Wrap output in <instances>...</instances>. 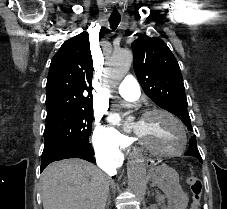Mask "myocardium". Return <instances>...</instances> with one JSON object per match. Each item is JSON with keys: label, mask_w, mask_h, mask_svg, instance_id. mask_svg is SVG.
Returning a JSON list of instances; mask_svg holds the SVG:
<instances>
[{"label": "myocardium", "mask_w": 227, "mask_h": 209, "mask_svg": "<svg viewBox=\"0 0 227 209\" xmlns=\"http://www.w3.org/2000/svg\"><path fill=\"white\" fill-rule=\"evenodd\" d=\"M156 113L164 114L165 116H167L169 119H171L177 125V127L179 128L181 135H182L181 146L177 149H174V150L161 151V150H158V149L150 146L147 142L142 140L136 133H134L135 140L138 142V144L144 150H146L150 154L157 156V157H172V156H176V155L181 154L186 149L187 144H188V135H187V131H186L184 124L171 111L164 109V108H158V107H154V108H151V109H148L147 111H145L142 115V118L148 117V116L156 114Z\"/></svg>", "instance_id": "f54148a6"}]
</instances>
